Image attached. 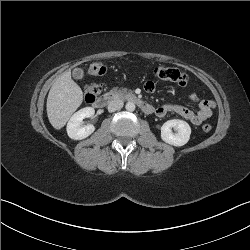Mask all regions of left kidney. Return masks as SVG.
Segmentation results:
<instances>
[{
	"label": "left kidney",
	"instance_id": "1",
	"mask_svg": "<svg viewBox=\"0 0 250 250\" xmlns=\"http://www.w3.org/2000/svg\"><path fill=\"white\" fill-rule=\"evenodd\" d=\"M172 128L177 132L173 133ZM190 134L191 128L189 124L179 119L168 120L161 127V139L176 147L185 145L190 139Z\"/></svg>",
	"mask_w": 250,
	"mask_h": 250
}]
</instances>
